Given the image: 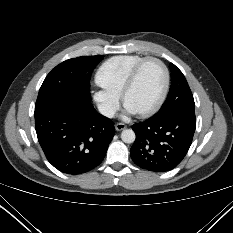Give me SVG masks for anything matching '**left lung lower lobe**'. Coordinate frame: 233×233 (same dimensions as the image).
I'll return each mask as SVG.
<instances>
[{
	"mask_svg": "<svg viewBox=\"0 0 233 233\" xmlns=\"http://www.w3.org/2000/svg\"><path fill=\"white\" fill-rule=\"evenodd\" d=\"M196 128L194 111H179L161 119L149 118L132 126L136 140L133 162L153 172L175 168L187 154Z\"/></svg>",
	"mask_w": 233,
	"mask_h": 233,
	"instance_id": "obj_1",
	"label": "left lung lower lobe"
}]
</instances>
